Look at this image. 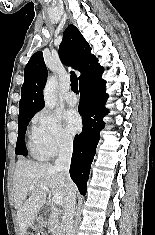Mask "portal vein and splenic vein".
<instances>
[{
    "instance_id": "1",
    "label": "portal vein and splenic vein",
    "mask_w": 155,
    "mask_h": 235,
    "mask_svg": "<svg viewBox=\"0 0 155 235\" xmlns=\"http://www.w3.org/2000/svg\"><path fill=\"white\" fill-rule=\"evenodd\" d=\"M34 187H35V185L32 184V185H31V188H34ZM40 188H41L42 190L49 191V188H48L47 186L41 185ZM52 199H53V202H54L55 204H57V205H62V204H63V199H62V197L59 196V195H54Z\"/></svg>"
}]
</instances>
